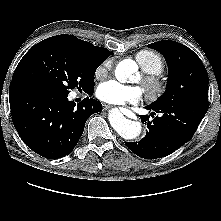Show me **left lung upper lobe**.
Masks as SVG:
<instances>
[{
	"mask_svg": "<svg viewBox=\"0 0 221 221\" xmlns=\"http://www.w3.org/2000/svg\"><path fill=\"white\" fill-rule=\"evenodd\" d=\"M148 47L165 57L169 70L165 93L151 105L162 108L176 103H208V75L196 53L187 46L170 40H161Z\"/></svg>",
	"mask_w": 221,
	"mask_h": 221,
	"instance_id": "5c2ea615",
	"label": "left lung upper lobe"
}]
</instances>
